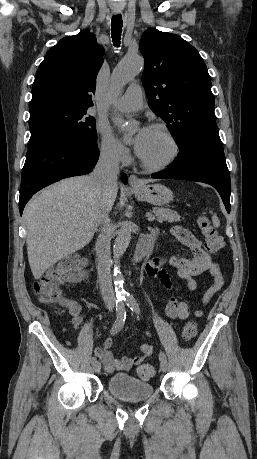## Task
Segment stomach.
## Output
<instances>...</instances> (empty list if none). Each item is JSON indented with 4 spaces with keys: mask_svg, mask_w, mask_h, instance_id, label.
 <instances>
[{
    "mask_svg": "<svg viewBox=\"0 0 257 459\" xmlns=\"http://www.w3.org/2000/svg\"><path fill=\"white\" fill-rule=\"evenodd\" d=\"M133 190L138 200L146 201L158 206L169 203L174 197L172 191L162 184L133 187Z\"/></svg>",
    "mask_w": 257,
    "mask_h": 459,
    "instance_id": "obj_1",
    "label": "stomach"
}]
</instances>
